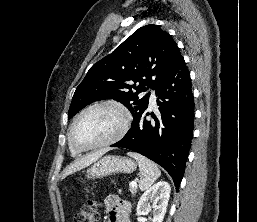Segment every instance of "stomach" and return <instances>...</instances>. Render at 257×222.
Returning a JSON list of instances; mask_svg holds the SVG:
<instances>
[{
    "instance_id": "0dacf381",
    "label": "stomach",
    "mask_w": 257,
    "mask_h": 222,
    "mask_svg": "<svg viewBox=\"0 0 257 222\" xmlns=\"http://www.w3.org/2000/svg\"><path fill=\"white\" fill-rule=\"evenodd\" d=\"M136 169L133 160L115 155H108L97 160L88 170L87 178H101L115 173H132Z\"/></svg>"
}]
</instances>
